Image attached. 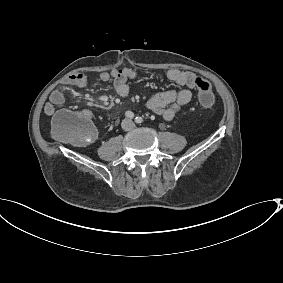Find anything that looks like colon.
<instances>
[{"mask_svg": "<svg viewBox=\"0 0 283 283\" xmlns=\"http://www.w3.org/2000/svg\"><path fill=\"white\" fill-rule=\"evenodd\" d=\"M195 86L198 90V101L204 108H210L215 101L210 83L196 77ZM53 134L74 145H87L96 137L95 128L90 119L81 112L61 110L52 119Z\"/></svg>", "mask_w": 283, "mask_h": 283, "instance_id": "1", "label": "colon"}]
</instances>
